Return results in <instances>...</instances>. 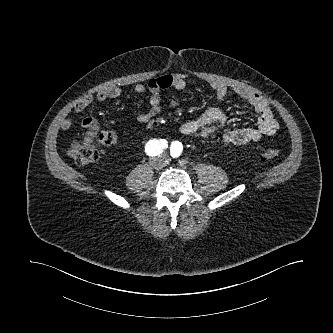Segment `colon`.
Segmentation results:
<instances>
[{"label":"colon","instance_id":"5ec220e1","mask_svg":"<svg viewBox=\"0 0 333 333\" xmlns=\"http://www.w3.org/2000/svg\"><path fill=\"white\" fill-rule=\"evenodd\" d=\"M114 139L112 131L95 128L86 133L82 140L72 143L69 154L78 165L88 166L99 160L101 148L112 144ZM279 156L280 150L273 148L265 149L259 154L262 161L276 159Z\"/></svg>","mask_w":333,"mask_h":333}]
</instances>
